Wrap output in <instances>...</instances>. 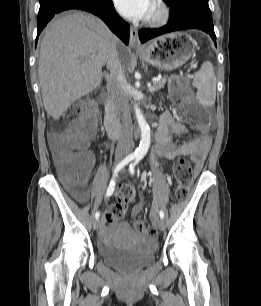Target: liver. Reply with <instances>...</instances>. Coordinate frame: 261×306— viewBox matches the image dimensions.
I'll list each match as a JSON object with an SVG mask.
<instances>
[{
    "label": "liver",
    "mask_w": 261,
    "mask_h": 306,
    "mask_svg": "<svg viewBox=\"0 0 261 306\" xmlns=\"http://www.w3.org/2000/svg\"><path fill=\"white\" fill-rule=\"evenodd\" d=\"M117 37L94 15L73 12L53 21L40 45L39 84L46 112L54 119L92 92Z\"/></svg>",
    "instance_id": "liver-1"
}]
</instances>
